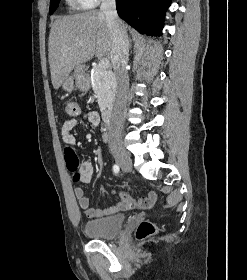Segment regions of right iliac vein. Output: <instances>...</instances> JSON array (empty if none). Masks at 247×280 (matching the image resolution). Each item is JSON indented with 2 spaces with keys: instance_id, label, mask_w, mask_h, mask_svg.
Returning a JSON list of instances; mask_svg holds the SVG:
<instances>
[{
  "instance_id": "1",
  "label": "right iliac vein",
  "mask_w": 247,
  "mask_h": 280,
  "mask_svg": "<svg viewBox=\"0 0 247 280\" xmlns=\"http://www.w3.org/2000/svg\"><path fill=\"white\" fill-rule=\"evenodd\" d=\"M112 155L117 164L124 171H130L132 169V160L127 152L119 145L111 146Z\"/></svg>"
}]
</instances>
